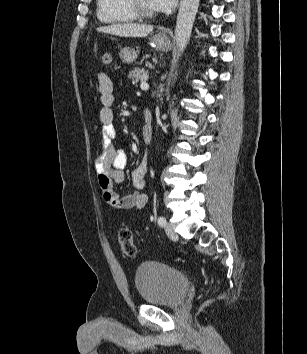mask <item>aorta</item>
<instances>
[{
    "mask_svg": "<svg viewBox=\"0 0 307 354\" xmlns=\"http://www.w3.org/2000/svg\"><path fill=\"white\" fill-rule=\"evenodd\" d=\"M200 0H181L177 15L175 40L179 53H183L189 43L193 23Z\"/></svg>",
    "mask_w": 307,
    "mask_h": 354,
    "instance_id": "1",
    "label": "aorta"
}]
</instances>
